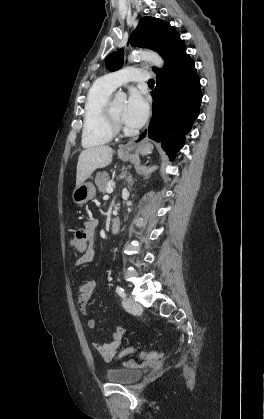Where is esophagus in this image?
I'll list each match as a JSON object with an SVG mask.
<instances>
[{
  "label": "esophagus",
  "mask_w": 264,
  "mask_h": 419,
  "mask_svg": "<svg viewBox=\"0 0 264 419\" xmlns=\"http://www.w3.org/2000/svg\"><path fill=\"white\" fill-rule=\"evenodd\" d=\"M148 137V129L147 127L143 129V131L135 137L133 140L128 142L125 145L119 147L118 152L120 154H129L138 144L145 141Z\"/></svg>",
  "instance_id": "34e87169"
}]
</instances>
